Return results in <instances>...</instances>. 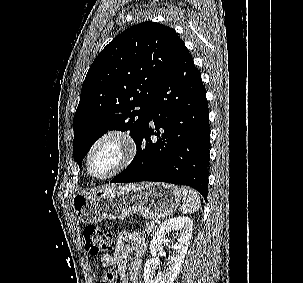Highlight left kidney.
Returning a JSON list of instances; mask_svg holds the SVG:
<instances>
[{"mask_svg":"<svg viewBox=\"0 0 303 283\" xmlns=\"http://www.w3.org/2000/svg\"><path fill=\"white\" fill-rule=\"evenodd\" d=\"M193 222L188 217H177L164 221L157 229L155 236L150 243L152 258L148 259L144 266L145 283H173L176 279L192 236ZM175 232L176 243L172 246L171 256L163 272L156 274L159 265L158 252L163 250L166 242L165 236L169 232Z\"/></svg>","mask_w":303,"mask_h":283,"instance_id":"1","label":"left kidney"}]
</instances>
